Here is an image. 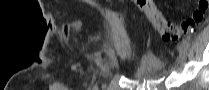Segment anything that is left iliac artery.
<instances>
[{
    "label": "left iliac artery",
    "mask_w": 209,
    "mask_h": 90,
    "mask_svg": "<svg viewBox=\"0 0 209 90\" xmlns=\"http://www.w3.org/2000/svg\"><path fill=\"white\" fill-rule=\"evenodd\" d=\"M182 43H183L187 48H189L190 44H189L188 40L183 39Z\"/></svg>",
    "instance_id": "left-iliac-artery-1"
}]
</instances>
